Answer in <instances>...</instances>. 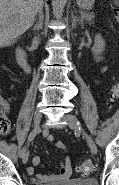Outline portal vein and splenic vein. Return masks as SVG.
<instances>
[{
  "label": "portal vein and splenic vein",
  "mask_w": 119,
  "mask_h": 185,
  "mask_svg": "<svg viewBox=\"0 0 119 185\" xmlns=\"http://www.w3.org/2000/svg\"><path fill=\"white\" fill-rule=\"evenodd\" d=\"M80 14H81V16H84L86 13L85 12H81Z\"/></svg>",
  "instance_id": "1"
}]
</instances>
